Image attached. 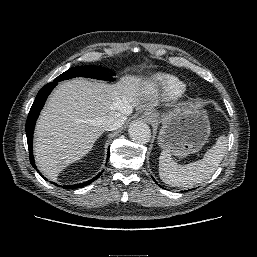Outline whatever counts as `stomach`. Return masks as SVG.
Segmentation results:
<instances>
[{"mask_svg":"<svg viewBox=\"0 0 257 257\" xmlns=\"http://www.w3.org/2000/svg\"><path fill=\"white\" fill-rule=\"evenodd\" d=\"M160 122L158 145L177 157L198 152L210 135L207 113L199 107L172 111L163 115Z\"/></svg>","mask_w":257,"mask_h":257,"instance_id":"1","label":"stomach"}]
</instances>
